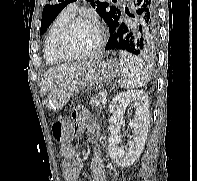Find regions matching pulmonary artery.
Here are the masks:
<instances>
[{
  "label": "pulmonary artery",
  "instance_id": "pulmonary-artery-1",
  "mask_svg": "<svg viewBox=\"0 0 197 181\" xmlns=\"http://www.w3.org/2000/svg\"><path fill=\"white\" fill-rule=\"evenodd\" d=\"M68 8L70 9V10H72V11H76L77 10V8H78V5H77V3L76 2H73V3H71L69 6H68Z\"/></svg>",
  "mask_w": 197,
  "mask_h": 181
}]
</instances>
